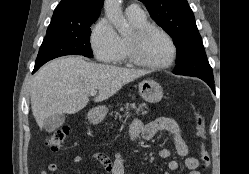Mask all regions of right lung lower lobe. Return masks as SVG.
Returning a JSON list of instances; mask_svg holds the SVG:
<instances>
[{
	"mask_svg": "<svg viewBox=\"0 0 249 174\" xmlns=\"http://www.w3.org/2000/svg\"><path fill=\"white\" fill-rule=\"evenodd\" d=\"M40 67H41L40 65H39V66H36V65H35L34 70H33V73H34L35 71H37Z\"/></svg>",
	"mask_w": 249,
	"mask_h": 174,
	"instance_id": "obj_1",
	"label": "right lung lower lobe"
}]
</instances>
